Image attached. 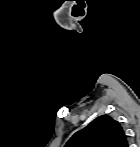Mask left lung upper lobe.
Instances as JSON below:
<instances>
[{
	"label": "left lung upper lobe",
	"instance_id": "1",
	"mask_svg": "<svg viewBox=\"0 0 140 147\" xmlns=\"http://www.w3.org/2000/svg\"><path fill=\"white\" fill-rule=\"evenodd\" d=\"M65 147H128V141L120 123L102 115L76 132Z\"/></svg>",
	"mask_w": 140,
	"mask_h": 147
}]
</instances>
